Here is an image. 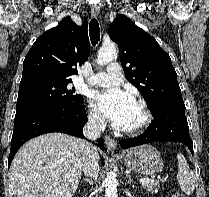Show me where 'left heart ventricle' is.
I'll return each mask as SVG.
<instances>
[{"instance_id":"obj_1","label":"left heart ventricle","mask_w":209,"mask_h":197,"mask_svg":"<svg viewBox=\"0 0 209 197\" xmlns=\"http://www.w3.org/2000/svg\"><path fill=\"white\" fill-rule=\"evenodd\" d=\"M142 119V112L140 110V107L137 105V108L133 114V117L129 123V125L126 128H132L136 126Z\"/></svg>"}]
</instances>
